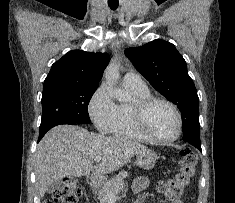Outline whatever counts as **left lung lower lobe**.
I'll return each instance as SVG.
<instances>
[{
    "label": "left lung lower lobe",
    "mask_w": 235,
    "mask_h": 203,
    "mask_svg": "<svg viewBox=\"0 0 235 203\" xmlns=\"http://www.w3.org/2000/svg\"><path fill=\"white\" fill-rule=\"evenodd\" d=\"M183 140H184L185 142L190 143L191 145L195 146V147L198 148L200 151H202V150H201V143L198 142V141H196V140H194L190 135L185 134V135L183 136Z\"/></svg>",
    "instance_id": "1"
}]
</instances>
